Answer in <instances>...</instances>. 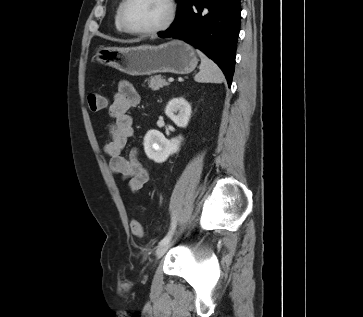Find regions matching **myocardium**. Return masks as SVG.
<instances>
[{
  "mask_svg": "<svg viewBox=\"0 0 363 317\" xmlns=\"http://www.w3.org/2000/svg\"><path fill=\"white\" fill-rule=\"evenodd\" d=\"M131 0H122V4L119 9V21L122 29L132 35L150 36L159 34L167 30L173 23L176 15V4L174 0H165L167 5L168 13L165 20L157 27L151 29H133L131 28L126 20V9Z\"/></svg>",
  "mask_w": 363,
  "mask_h": 317,
  "instance_id": "1",
  "label": "myocardium"
}]
</instances>
